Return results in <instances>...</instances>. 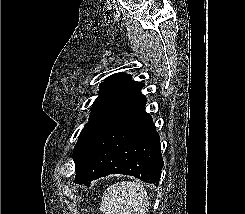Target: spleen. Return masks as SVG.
I'll return each instance as SVG.
<instances>
[{"instance_id": "obj_1", "label": "spleen", "mask_w": 245, "mask_h": 214, "mask_svg": "<svg viewBox=\"0 0 245 214\" xmlns=\"http://www.w3.org/2000/svg\"><path fill=\"white\" fill-rule=\"evenodd\" d=\"M149 206L143 184L123 181L103 193L100 210L105 214H145Z\"/></svg>"}]
</instances>
